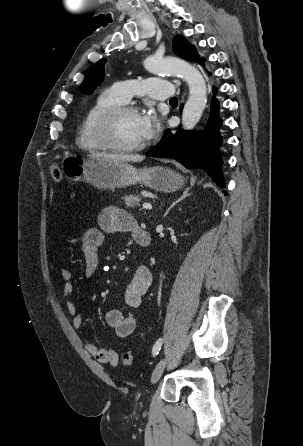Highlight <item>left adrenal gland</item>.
Returning <instances> with one entry per match:
<instances>
[{"label":"left adrenal gland","instance_id":"obj_1","mask_svg":"<svg viewBox=\"0 0 303 446\" xmlns=\"http://www.w3.org/2000/svg\"><path fill=\"white\" fill-rule=\"evenodd\" d=\"M190 188H186L182 194V196L176 200L175 202H173L169 208H167L166 212L164 213L163 217H166L167 214L169 213V211L171 210V208H173L178 202H180L181 200H183L184 198H186L187 196H189L191 193H189Z\"/></svg>","mask_w":303,"mask_h":446}]
</instances>
